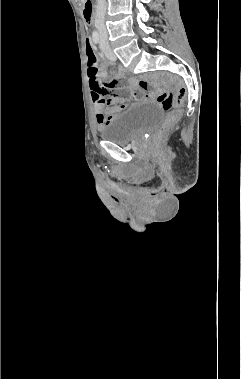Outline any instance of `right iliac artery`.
I'll use <instances>...</instances> for the list:
<instances>
[{
	"label": "right iliac artery",
	"instance_id": "1",
	"mask_svg": "<svg viewBox=\"0 0 241 379\" xmlns=\"http://www.w3.org/2000/svg\"><path fill=\"white\" fill-rule=\"evenodd\" d=\"M92 38H93V41L97 44L100 42V36H99V33L97 31H94L93 34H92Z\"/></svg>",
	"mask_w": 241,
	"mask_h": 379
}]
</instances>
